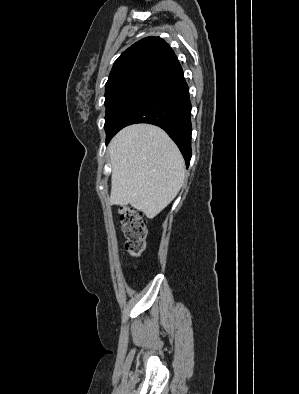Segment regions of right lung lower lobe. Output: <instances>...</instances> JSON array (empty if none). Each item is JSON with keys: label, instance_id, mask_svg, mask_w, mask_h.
I'll return each mask as SVG.
<instances>
[{"label": "right lung lower lobe", "instance_id": "98d812e1", "mask_svg": "<svg viewBox=\"0 0 299 394\" xmlns=\"http://www.w3.org/2000/svg\"><path fill=\"white\" fill-rule=\"evenodd\" d=\"M134 123L161 127L179 147L188 167L191 159V102L181 66L148 87L124 112L106 144Z\"/></svg>", "mask_w": 299, "mask_h": 394}]
</instances>
